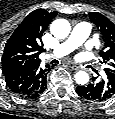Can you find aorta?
<instances>
[{
	"mask_svg": "<svg viewBox=\"0 0 115 119\" xmlns=\"http://www.w3.org/2000/svg\"><path fill=\"white\" fill-rule=\"evenodd\" d=\"M51 33L58 39L66 38L71 31L69 22L65 19H56L50 26ZM75 81L79 85H85L89 81V75L85 71H78L75 74Z\"/></svg>",
	"mask_w": 115,
	"mask_h": 119,
	"instance_id": "obj_1",
	"label": "aorta"
}]
</instances>
